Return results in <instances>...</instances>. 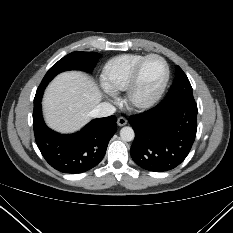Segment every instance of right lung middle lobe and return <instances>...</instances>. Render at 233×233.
I'll list each match as a JSON object with an SVG mask.
<instances>
[{
  "mask_svg": "<svg viewBox=\"0 0 233 233\" xmlns=\"http://www.w3.org/2000/svg\"><path fill=\"white\" fill-rule=\"evenodd\" d=\"M99 54L95 52H72L56 64H54L44 76L38 90L45 89L47 84L59 73L67 70H84L91 71L97 61Z\"/></svg>",
  "mask_w": 233,
  "mask_h": 233,
  "instance_id": "1",
  "label": "right lung middle lobe"
}]
</instances>
